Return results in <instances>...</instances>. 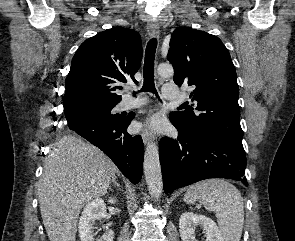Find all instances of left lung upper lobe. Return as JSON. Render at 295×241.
<instances>
[{
	"instance_id": "left-lung-upper-lobe-1",
	"label": "left lung upper lobe",
	"mask_w": 295,
	"mask_h": 241,
	"mask_svg": "<svg viewBox=\"0 0 295 241\" xmlns=\"http://www.w3.org/2000/svg\"><path fill=\"white\" fill-rule=\"evenodd\" d=\"M167 59L174 68V82L188 84L196 112L171 113L187 135L212 133L242 141L238 106L239 87L230 54L221 40L204 31L176 29Z\"/></svg>"
}]
</instances>
